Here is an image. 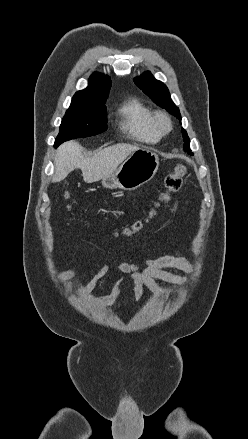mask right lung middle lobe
I'll use <instances>...</instances> for the list:
<instances>
[{
    "instance_id": "obj_1",
    "label": "right lung middle lobe",
    "mask_w": 248,
    "mask_h": 439,
    "mask_svg": "<svg viewBox=\"0 0 248 439\" xmlns=\"http://www.w3.org/2000/svg\"><path fill=\"white\" fill-rule=\"evenodd\" d=\"M106 106L104 104L71 103L60 125L55 139L57 147L64 141L97 135L107 129Z\"/></svg>"
}]
</instances>
